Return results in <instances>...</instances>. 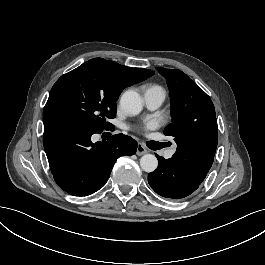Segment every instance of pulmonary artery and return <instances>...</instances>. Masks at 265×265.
Returning a JSON list of instances; mask_svg holds the SVG:
<instances>
[{"label":"pulmonary artery","instance_id":"1","mask_svg":"<svg viewBox=\"0 0 265 265\" xmlns=\"http://www.w3.org/2000/svg\"><path fill=\"white\" fill-rule=\"evenodd\" d=\"M145 103L150 108H157L164 102V95L155 87L148 89L144 94Z\"/></svg>","mask_w":265,"mask_h":265}]
</instances>
